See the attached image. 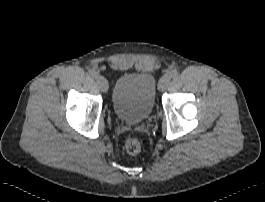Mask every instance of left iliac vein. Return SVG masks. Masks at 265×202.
<instances>
[{
  "label": "left iliac vein",
  "instance_id": "1",
  "mask_svg": "<svg viewBox=\"0 0 265 202\" xmlns=\"http://www.w3.org/2000/svg\"><path fill=\"white\" fill-rule=\"evenodd\" d=\"M170 81H171V76L169 74L164 75L159 81L158 84L159 90L160 91L166 90L170 85Z\"/></svg>",
  "mask_w": 265,
  "mask_h": 202
}]
</instances>
